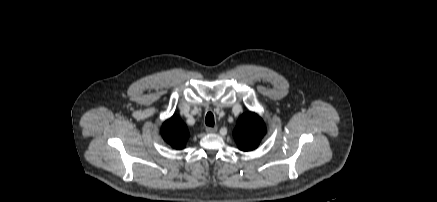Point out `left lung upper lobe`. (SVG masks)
Masks as SVG:
<instances>
[{"label": "left lung upper lobe", "mask_w": 437, "mask_h": 202, "mask_svg": "<svg viewBox=\"0 0 437 202\" xmlns=\"http://www.w3.org/2000/svg\"><path fill=\"white\" fill-rule=\"evenodd\" d=\"M265 133L266 126L261 117L247 112L238 119L233 136L240 150L251 151L258 147Z\"/></svg>", "instance_id": "left-lung-upper-lobe-1"}]
</instances>
